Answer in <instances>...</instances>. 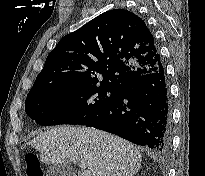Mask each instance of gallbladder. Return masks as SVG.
Here are the masks:
<instances>
[{
  "label": "gallbladder",
  "instance_id": "gallbladder-1",
  "mask_svg": "<svg viewBox=\"0 0 205 176\" xmlns=\"http://www.w3.org/2000/svg\"><path fill=\"white\" fill-rule=\"evenodd\" d=\"M46 176H71V168L64 164H53L47 168Z\"/></svg>",
  "mask_w": 205,
  "mask_h": 176
}]
</instances>
